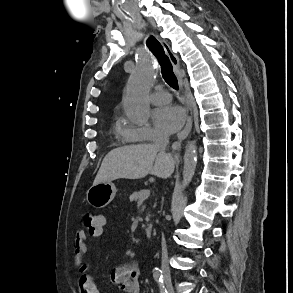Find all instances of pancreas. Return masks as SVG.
Wrapping results in <instances>:
<instances>
[{
    "label": "pancreas",
    "mask_w": 293,
    "mask_h": 293,
    "mask_svg": "<svg viewBox=\"0 0 293 293\" xmlns=\"http://www.w3.org/2000/svg\"><path fill=\"white\" fill-rule=\"evenodd\" d=\"M146 189L140 190L138 192H134L131 196H130V201H134L137 202L140 200L141 196L146 192ZM146 221L149 222V216L146 217ZM149 231V230H147Z\"/></svg>",
    "instance_id": "pancreas-1"
}]
</instances>
